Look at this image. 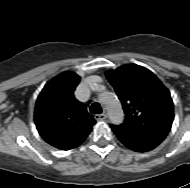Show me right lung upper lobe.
<instances>
[{"mask_svg":"<svg viewBox=\"0 0 190 188\" xmlns=\"http://www.w3.org/2000/svg\"><path fill=\"white\" fill-rule=\"evenodd\" d=\"M79 81L74 72L61 73L45 85L36 101L37 130L48 144L60 150L82 144L95 124L84 104L74 97Z\"/></svg>","mask_w":190,"mask_h":188,"instance_id":"1","label":"right lung upper lobe"}]
</instances>
